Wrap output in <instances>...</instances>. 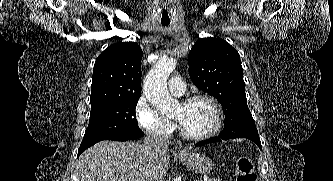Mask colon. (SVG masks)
<instances>
[{
    "label": "colon",
    "mask_w": 333,
    "mask_h": 181,
    "mask_svg": "<svg viewBox=\"0 0 333 181\" xmlns=\"http://www.w3.org/2000/svg\"><path fill=\"white\" fill-rule=\"evenodd\" d=\"M237 181H256L257 176L252 160L248 156H239L235 161Z\"/></svg>",
    "instance_id": "obj_1"
}]
</instances>
